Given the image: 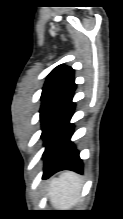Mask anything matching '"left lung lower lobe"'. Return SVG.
Instances as JSON below:
<instances>
[{"label":"left lung lower lobe","instance_id":"1","mask_svg":"<svg viewBox=\"0 0 123 219\" xmlns=\"http://www.w3.org/2000/svg\"><path fill=\"white\" fill-rule=\"evenodd\" d=\"M72 98L73 93L57 108L42 128L41 137L46 146L43 154L45 160L43 178H48L61 170H72L78 173L83 171L79 152L70 141L73 124L69 122L75 108Z\"/></svg>","mask_w":123,"mask_h":219}]
</instances>
